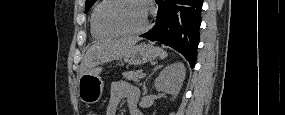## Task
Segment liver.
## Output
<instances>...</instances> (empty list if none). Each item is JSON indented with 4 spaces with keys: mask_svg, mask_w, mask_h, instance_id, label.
Instances as JSON below:
<instances>
[{
    "mask_svg": "<svg viewBox=\"0 0 285 115\" xmlns=\"http://www.w3.org/2000/svg\"><path fill=\"white\" fill-rule=\"evenodd\" d=\"M138 40V38H121L93 44L81 62L80 76L100 64L122 58L135 46Z\"/></svg>",
    "mask_w": 285,
    "mask_h": 115,
    "instance_id": "1",
    "label": "liver"
}]
</instances>
